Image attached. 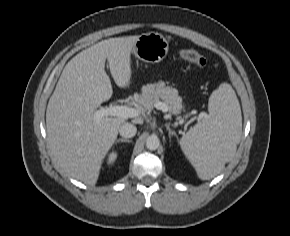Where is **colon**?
Here are the masks:
<instances>
[{"instance_id": "1", "label": "colon", "mask_w": 290, "mask_h": 236, "mask_svg": "<svg viewBox=\"0 0 290 236\" xmlns=\"http://www.w3.org/2000/svg\"><path fill=\"white\" fill-rule=\"evenodd\" d=\"M180 56L182 59L198 67H204L207 64L206 58L199 51L192 48L181 50Z\"/></svg>"}]
</instances>
